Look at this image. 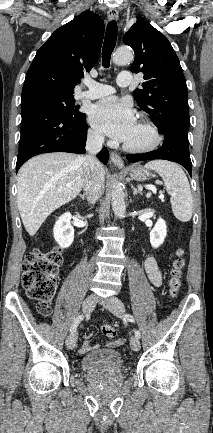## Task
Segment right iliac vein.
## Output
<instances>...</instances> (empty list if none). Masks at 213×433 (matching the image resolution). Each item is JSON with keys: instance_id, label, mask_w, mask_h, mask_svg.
I'll return each mask as SVG.
<instances>
[{"instance_id": "right-iliac-vein-1", "label": "right iliac vein", "mask_w": 213, "mask_h": 433, "mask_svg": "<svg viewBox=\"0 0 213 433\" xmlns=\"http://www.w3.org/2000/svg\"><path fill=\"white\" fill-rule=\"evenodd\" d=\"M96 303H97V297L95 295L87 296L82 305L83 312L90 313L94 309ZM76 342H77V335L75 333L70 334L66 338V347L69 350H72L75 348Z\"/></svg>"}]
</instances>
